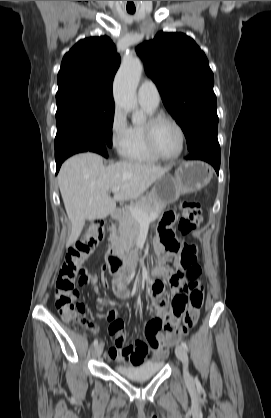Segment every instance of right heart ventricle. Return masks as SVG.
<instances>
[{"label":"right heart ventricle","mask_w":271,"mask_h":418,"mask_svg":"<svg viewBox=\"0 0 271 418\" xmlns=\"http://www.w3.org/2000/svg\"><path fill=\"white\" fill-rule=\"evenodd\" d=\"M141 107L147 117L153 115L156 110L146 105H141ZM121 155L127 160L137 162H156L159 160L147 147L143 123H133L128 126L127 137L121 150Z\"/></svg>","instance_id":"obj_1"}]
</instances>
